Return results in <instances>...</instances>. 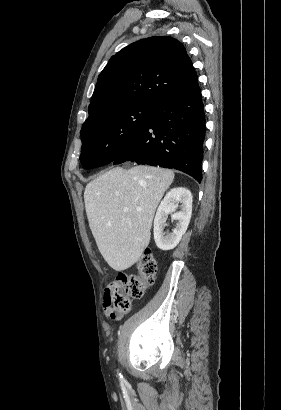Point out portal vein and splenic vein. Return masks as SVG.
<instances>
[{
    "label": "portal vein and splenic vein",
    "mask_w": 281,
    "mask_h": 410,
    "mask_svg": "<svg viewBox=\"0 0 281 410\" xmlns=\"http://www.w3.org/2000/svg\"><path fill=\"white\" fill-rule=\"evenodd\" d=\"M128 210H129V209H128L127 207H125V208L123 209L124 212H128ZM136 210L140 212V211H142V208H141V207H137Z\"/></svg>",
    "instance_id": "portal-vein-and-splenic-vein-1"
}]
</instances>
